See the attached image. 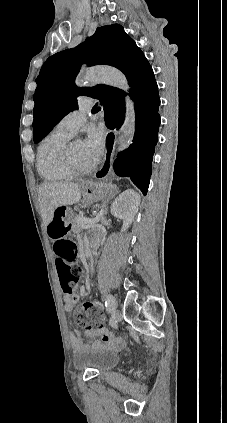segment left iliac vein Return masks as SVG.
Masks as SVG:
<instances>
[{
    "label": "left iliac vein",
    "mask_w": 227,
    "mask_h": 423,
    "mask_svg": "<svg viewBox=\"0 0 227 423\" xmlns=\"http://www.w3.org/2000/svg\"><path fill=\"white\" fill-rule=\"evenodd\" d=\"M111 306H116V301H115V303H113V304H111ZM109 307H110V305H109ZM108 308H106V310H107ZM120 318H121V312H120V310L119 309H117L116 307L114 308V310H113V312H112V321L115 323V324H117L118 323V321L120 320Z\"/></svg>",
    "instance_id": "left-iliac-vein-1"
}]
</instances>
